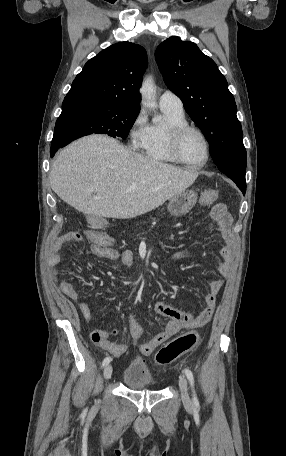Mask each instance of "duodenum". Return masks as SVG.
<instances>
[{
  "label": "duodenum",
  "mask_w": 286,
  "mask_h": 456,
  "mask_svg": "<svg viewBox=\"0 0 286 456\" xmlns=\"http://www.w3.org/2000/svg\"><path fill=\"white\" fill-rule=\"evenodd\" d=\"M98 220L101 222V224L104 223V222H103L104 218H99Z\"/></svg>",
  "instance_id": "1"
}]
</instances>
